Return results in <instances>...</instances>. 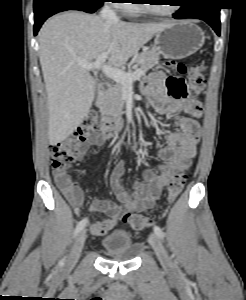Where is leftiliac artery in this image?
<instances>
[{"instance_id": "left-iliac-artery-1", "label": "left iliac artery", "mask_w": 246, "mask_h": 300, "mask_svg": "<svg viewBox=\"0 0 246 300\" xmlns=\"http://www.w3.org/2000/svg\"><path fill=\"white\" fill-rule=\"evenodd\" d=\"M154 232H155V234L160 238V239H164V236H165V234H164V232L162 231V229L159 227V226H154Z\"/></svg>"}]
</instances>
